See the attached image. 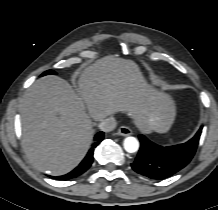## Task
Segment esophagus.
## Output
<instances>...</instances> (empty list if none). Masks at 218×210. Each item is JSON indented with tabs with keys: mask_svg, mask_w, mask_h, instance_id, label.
Returning <instances> with one entry per match:
<instances>
[{
	"mask_svg": "<svg viewBox=\"0 0 218 210\" xmlns=\"http://www.w3.org/2000/svg\"><path fill=\"white\" fill-rule=\"evenodd\" d=\"M118 135H121V136H128V135H131L132 134V130L129 128V127H126V126H121L119 129H118Z\"/></svg>",
	"mask_w": 218,
	"mask_h": 210,
	"instance_id": "1",
	"label": "esophagus"
}]
</instances>
